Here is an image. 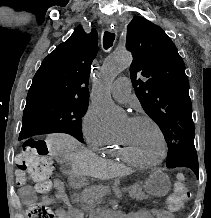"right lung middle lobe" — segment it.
I'll return each mask as SVG.
<instances>
[{
    "mask_svg": "<svg viewBox=\"0 0 211 218\" xmlns=\"http://www.w3.org/2000/svg\"><path fill=\"white\" fill-rule=\"evenodd\" d=\"M88 102L76 100H39L26 103L21 134L29 137L38 134L63 132L83 142L81 118Z\"/></svg>",
    "mask_w": 211,
    "mask_h": 218,
    "instance_id": "1",
    "label": "right lung middle lobe"
}]
</instances>
